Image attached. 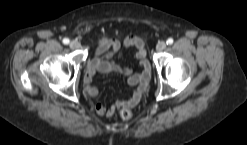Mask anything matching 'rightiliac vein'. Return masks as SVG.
<instances>
[{
	"mask_svg": "<svg viewBox=\"0 0 247 145\" xmlns=\"http://www.w3.org/2000/svg\"><path fill=\"white\" fill-rule=\"evenodd\" d=\"M79 46H80L79 43L77 41H75V40L70 42V47L72 49H77V48H79Z\"/></svg>",
	"mask_w": 247,
	"mask_h": 145,
	"instance_id": "right-iliac-vein-1",
	"label": "right iliac vein"
}]
</instances>
